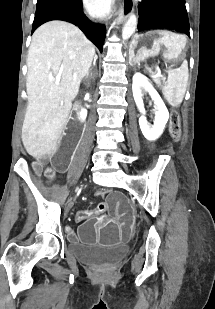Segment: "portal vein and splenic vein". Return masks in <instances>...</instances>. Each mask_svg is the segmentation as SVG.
<instances>
[{
    "instance_id": "obj_1",
    "label": "portal vein and splenic vein",
    "mask_w": 215,
    "mask_h": 309,
    "mask_svg": "<svg viewBox=\"0 0 215 309\" xmlns=\"http://www.w3.org/2000/svg\"><path fill=\"white\" fill-rule=\"evenodd\" d=\"M59 82H60V76H56V78H55V84H59Z\"/></svg>"
}]
</instances>
